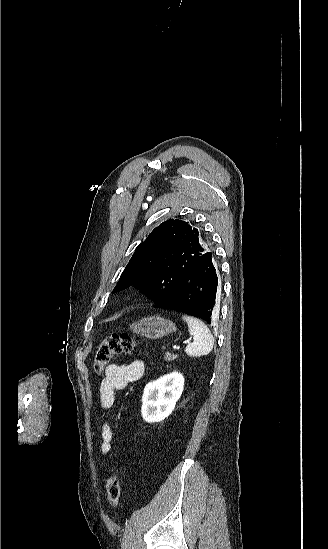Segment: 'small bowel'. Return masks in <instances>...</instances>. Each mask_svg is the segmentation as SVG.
Here are the masks:
<instances>
[{
	"label": "small bowel",
	"mask_w": 328,
	"mask_h": 549,
	"mask_svg": "<svg viewBox=\"0 0 328 549\" xmlns=\"http://www.w3.org/2000/svg\"><path fill=\"white\" fill-rule=\"evenodd\" d=\"M144 369V363L141 360H134L128 364L107 365L99 389L101 407L110 409L114 404L115 392L124 390L130 383L141 379ZM101 437V454L105 457L111 450L113 438L112 428L108 422L102 424Z\"/></svg>",
	"instance_id": "1"
}]
</instances>
